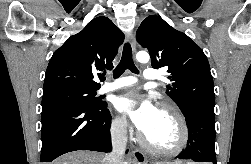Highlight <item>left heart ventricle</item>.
Returning a JSON list of instances; mask_svg holds the SVG:
<instances>
[{
	"mask_svg": "<svg viewBox=\"0 0 251 164\" xmlns=\"http://www.w3.org/2000/svg\"><path fill=\"white\" fill-rule=\"evenodd\" d=\"M145 135L154 146L170 147L177 141L178 129L173 118L159 110L153 126Z\"/></svg>",
	"mask_w": 251,
	"mask_h": 164,
	"instance_id": "b2bd125f",
	"label": "left heart ventricle"
}]
</instances>
